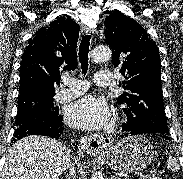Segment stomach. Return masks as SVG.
<instances>
[{
  "instance_id": "0dacf381",
  "label": "stomach",
  "mask_w": 183,
  "mask_h": 179,
  "mask_svg": "<svg viewBox=\"0 0 183 179\" xmlns=\"http://www.w3.org/2000/svg\"><path fill=\"white\" fill-rule=\"evenodd\" d=\"M108 165L115 171L134 173L146 169L152 162L154 151L150 142L141 135L119 140L105 152Z\"/></svg>"
}]
</instances>
